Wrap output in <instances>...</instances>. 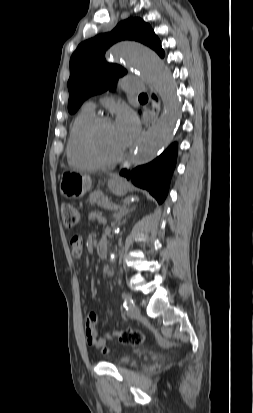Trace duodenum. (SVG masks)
Listing matches in <instances>:
<instances>
[{
    "label": "duodenum",
    "instance_id": "duodenum-1",
    "mask_svg": "<svg viewBox=\"0 0 253 413\" xmlns=\"http://www.w3.org/2000/svg\"><path fill=\"white\" fill-rule=\"evenodd\" d=\"M96 253L99 257H105L107 255V241L102 238L96 245Z\"/></svg>",
    "mask_w": 253,
    "mask_h": 413
}]
</instances>
